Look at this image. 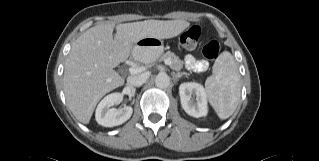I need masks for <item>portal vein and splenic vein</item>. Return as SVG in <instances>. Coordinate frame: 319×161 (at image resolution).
Masks as SVG:
<instances>
[{"instance_id": "1", "label": "portal vein and splenic vein", "mask_w": 319, "mask_h": 161, "mask_svg": "<svg viewBox=\"0 0 319 161\" xmlns=\"http://www.w3.org/2000/svg\"><path fill=\"white\" fill-rule=\"evenodd\" d=\"M165 64L170 66L171 65L170 60H165ZM142 70H143L142 67H131V68H129V71H130L131 74H136L138 72H141Z\"/></svg>"}]
</instances>
